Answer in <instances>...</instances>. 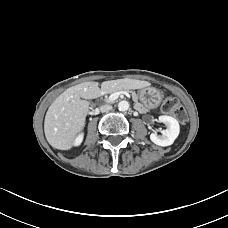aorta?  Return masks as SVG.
Wrapping results in <instances>:
<instances>
[{
	"label": "aorta",
	"mask_w": 228,
	"mask_h": 228,
	"mask_svg": "<svg viewBox=\"0 0 228 228\" xmlns=\"http://www.w3.org/2000/svg\"><path fill=\"white\" fill-rule=\"evenodd\" d=\"M118 109L120 110V111H127L128 109H129V103L127 102V101H120L119 103H118Z\"/></svg>",
	"instance_id": "obj_1"
}]
</instances>
